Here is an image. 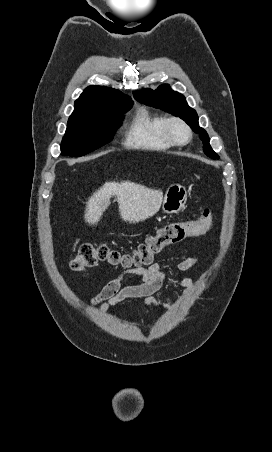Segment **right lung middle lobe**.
<instances>
[{"label":"right lung middle lobe","instance_id":"dd1d6c3e","mask_svg":"<svg viewBox=\"0 0 272 452\" xmlns=\"http://www.w3.org/2000/svg\"><path fill=\"white\" fill-rule=\"evenodd\" d=\"M131 104H121L78 120H68L61 143V155L80 157L109 143Z\"/></svg>","mask_w":272,"mask_h":452}]
</instances>
